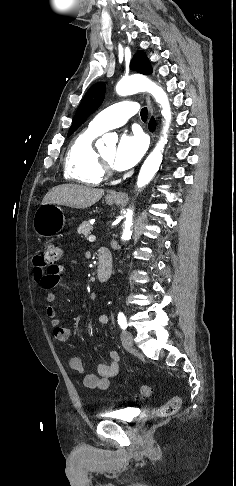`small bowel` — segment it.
Masks as SVG:
<instances>
[{
    "label": "small bowel",
    "mask_w": 236,
    "mask_h": 486,
    "mask_svg": "<svg viewBox=\"0 0 236 486\" xmlns=\"http://www.w3.org/2000/svg\"><path fill=\"white\" fill-rule=\"evenodd\" d=\"M66 272L67 268L63 264L49 266L43 262L40 255L34 258V280L46 291V301L49 305L46 307L45 313L51 319L54 336L60 343H67L71 338L72 332L70 328L63 327L60 324L56 309L52 305L57 298L53 290L56 288H67L65 285L60 284V279ZM97 320L99 324L104 325L108 322V316L106 314H100ZM109 357L110 360L107 363L98 366L96 374L86 373L85 366L78 357H72L70 359V367L83 375V383L86 387L105 390L108 388L110 380L117 376L120 371V357L118 352L111 351Z\"/></svg>",
    "instance_id": "obj_1"
}]
</instances>
